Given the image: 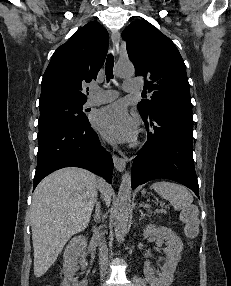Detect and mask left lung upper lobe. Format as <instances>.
I'll return each mask as SVG.
<instances>
[{
	"instance_id": "5c2ea615",
	"label": "left lung upper lobe",
	"mask_w": 231,
	"mask_h": 286,
	"mask_svg": "<svg viewBox=\"0 0 231 286\" xmlns=\"http://www.w3.org/2000/svg\"><path fill=\"white\" fill-rule=\"evenodd\" d=\"M122 37L135 76L142 77L145 90L153 94L150 100L138 103L141 116H149L156 105L192 109L186 67L172 40L146 20L132 22Z\"/></svg>"
}]
</instances>
